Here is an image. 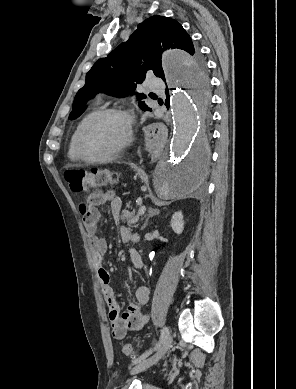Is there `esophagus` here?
Listing matches in <instances>:
<instances>
[{
	"mask_svg": "<svg viewBox=\"0 0 296 389\" xmlns=\"http://www.w3.org/2000/svg\"><path fill=\"white\" fill-rule=\"evenodd\" d=\"M146 126L149 131H162L164 129L165 123L162 118H149L147 120Z\"/></svg>",
	"mask_w": 296,
	"mask_h": 389,
	"instance_id": "34e87169",
	"label": "esophagus"
}]
</instances>
